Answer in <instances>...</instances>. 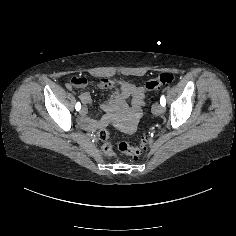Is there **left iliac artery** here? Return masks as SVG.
Instances as JSON below:
<instances>
[{"label": "left iliac artery", "instance_id": "obj_1", "mask_svg": "<svg viewBox=\"0 0 236 236\" xmlns=\"http://www.w3.org/2000/svg\"><path fill=\"white\" fill-rule=\"evenodd\" d=\"M160 104L164 107L166 105V99L164 97V95L161 96L160 98Z\"/></svg>", "mask_w": 236, "mask_h": 236}]
</instances>
